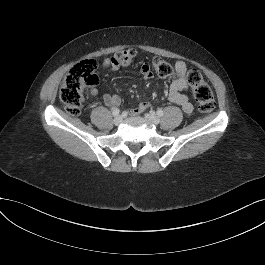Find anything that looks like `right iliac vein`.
Listing matches in <instances>:
<instances>
[{
    "label": "right iliac vein",
    "mask_w": 265,
    "mask_h": 265,
    "mask_svg": "<svg viewBox=\"0 0 265 265\" xmlns=\"http://www.w3.org/2000/svg\"><path fill=\"white\" fill-rule=\"evenodd\" d=\"M121 122H122V117H121V116H117V117H115L114 120H113V123H114V125H116V126L120 125Z\"/></svg>",
    "instance_id": "right-iliac-vein-1"
}]
</instances>
